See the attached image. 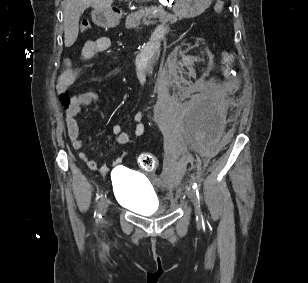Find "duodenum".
Segmentation results:
<instances>
[{
	"instance_id": "obj_1",
	"label": "duodenum",
	"mask_w": 308,
	"mask_h": 283,
	"mask_svg": "<svg viewBox=\"0 0 308 283\" xmlns=\"http://www.w3.org/2000/svg\"><path fill=\"white\" fill-rule=\"evenodd\" d=\"M122 17V12L117 8H112L106 13L98 17V22L102 26H108L113 22L118 21ZM162 31L157 33V38H149L147 44H144L143 50H140L138 62H152V57H155L157 47L162 43Z\"/></svg>"
}]
</instances>
